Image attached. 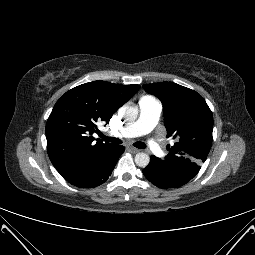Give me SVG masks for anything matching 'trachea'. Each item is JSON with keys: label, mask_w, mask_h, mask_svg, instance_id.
I'll return each mask as SVG.
<instances>
[{"label": "trachea", "mask_w": 255, "mask_h": 255, "mask_svg": "<svg viewBox=\"0 0 255 255\" xmlns=\"http://www.w3.org/2000/svg\"><path fill=\"white\" fill-rule=\"evenodd\" d=\"M101 138L104 141H108V142H112V143H116V144H121L122 143V141L120 139L115 138V137H107V136L101 135ZM133 145L137 148H140V149H144L146 147V145L142 142H136Z\"/></svg>", "instance_id": "trachea-1"}]
</instances>
